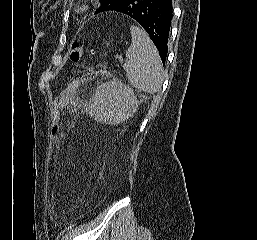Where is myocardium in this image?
<instances>
[{
  "label": "myocardium",
  "mask_w": 257,
  "mask_h": 240,
  "mask_svg": "<svg viewBox=\"0 0 257 240\" xmlns=\"http://www.w3.org/2000/svg\"><path fill=\"white\" fill-rule=\"evenodd\" d=\"M86 5H81V6H79L78 8H77V11L78 12H83V11H85L86 10Z\"/></svg>",
  "instance_id": "1"
}]
</instances>
